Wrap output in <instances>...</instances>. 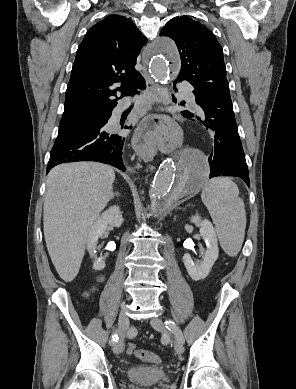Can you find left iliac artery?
I'll return each instance as SVG.
<instances>
[{
  "label": "left iliac artery",
  "mask_w": 296,
  "mask_h": 389,
  "mask_svg": "<svg viewBox=\"0 0 296 389\" xmlns=\"http://www.w3.org/2000/svg\"><path fill=\"white\" fill-rule=\"evenodd\" d=\"M165 325H166V328L168 330L172 331L178 339H180L182 342H184V337H183L182 331L173 321L167 320L165 322Z\"/></svg>",
  "instance_id": "obj_1"
}]
</instances>
